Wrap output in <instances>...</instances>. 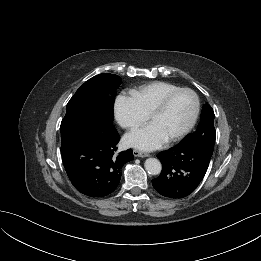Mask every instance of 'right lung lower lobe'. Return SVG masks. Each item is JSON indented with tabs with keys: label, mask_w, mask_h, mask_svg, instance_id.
I'll list each match as a JSON object with an SVG mask.
<instances>
[{
	"label": "right lung lower lobe",
	"mask_w": 261,
	"mask_h": 261,
	"mask_svg": "<svg viewBox=\"0 0 261 261\" xmlns=\"http://www.w3.org/2000/svg\"><path fill=\"white\" fill-rule=\"evenodd\" d=\"M120 136L113 125H88L61 136V154L73 186L90 197L115 191L123 165L133 160L131 149L117 153Z\"/></svg>",
	"instance_id": "1"
}]
</instances>
